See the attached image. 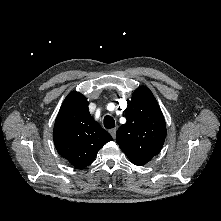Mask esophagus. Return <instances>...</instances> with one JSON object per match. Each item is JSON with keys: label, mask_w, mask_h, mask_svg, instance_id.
<instances>
[{"label": "esophagus", "mask_w": 221, "mask_h": 221, "mask_svg": "<svg viewBox=\"0 0 221 221\" xmlns=\"http://www.w3.org/2000/svg\"><path fill=\"white\" fill-rule=\"evenodd\" d=\"M116 128H113V129H111L110 131H109V133H110V135L113 137V138H115V136H116Z\"/></svg>", "instance_id": "obj_1"}]
</instances>
